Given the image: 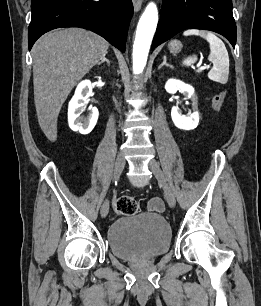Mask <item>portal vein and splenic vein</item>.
I'll use <instances>...</instances> for the list:
<instances>
[{
    "label": "portal vein and splenic vein",
    "mask_w": 261,
    "mask_h": 306,
    "mask_svg": "<svg viewBox=\"0 0 261 306\" xmlns=\"http://www.w3.org/2000/svg\"><path fill=\"white\" fill-rule=\"evenodd\" d=\"M196 67L198 68V70L202 71V70L208 69L210 66L207 64H204V65H197Z\"/></svg>",
    "instance_id": "1"
}]
</instances>
